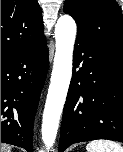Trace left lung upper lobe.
Returning <instances> with one entry per match:
<instances>
[{"label":"left lung upper lobe","instance_id":"left-lung-upper-lobe-1","mask_svg":"<svg viewBox=\"0 0 123 152\" xmlns=\"http://www.w3.org/2000/svg\"><path fill=\"white\" fill-rule=\"evenodd\" d=\"M79 31L123 51V18L115 0H66Z\"/></svg>","mask_w":123,"mask_h":152}]
</instances>
